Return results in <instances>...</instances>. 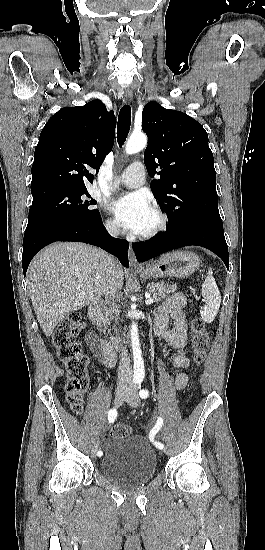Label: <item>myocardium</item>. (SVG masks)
I'll use <instances>...</instances> for the list:
<instances>
[{"mask_svg":"<svg viewBox=\"0 0 265 550\" xmlns=\"http://www.w3.org/2000/svg\"><path fill=\"white\" fill-rule=\"evenodd\" d=\"M152 213L156 217V224L155 226L145 232H141L138 234L139 238L142 239H150L153 238L159 234H161L163 231L166 230L168 225V218L167 216L158 208H153Z\"/></svg>","mask_w":265,"mask_h":550,"instance_id":"1","label":"myocardium"}]
</instances>
